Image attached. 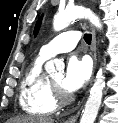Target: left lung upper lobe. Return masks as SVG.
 <instances>
[{
  "instance_id": "5c2ea615",
  "label": "left lung upper lobe",
  "mask_w": 118,
  "mask_h": 123,
  "mask_svg": "<svg viewBox=\"0 0 118 123\" xmlns=\"http://www.w3.org/2000/svg\"><path fill=\"white\" fill-rule=\"evenodd\" d=\"M42 17H43V16H41V17L39 18V20L37 21V23H36V25H35V29H34V34H35V35H36V34L38 33V31H39V28H40V25H41Z\"/></svg>"
}]
</instances>
